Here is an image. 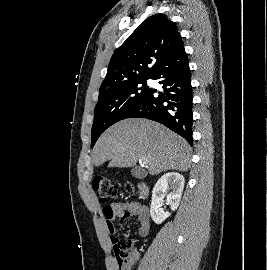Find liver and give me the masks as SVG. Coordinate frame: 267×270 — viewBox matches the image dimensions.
Segmentation results:
<instances>
[{
  "label": "liver",
  "instance_id": "1",
  "mask_svg": "<svg viewBox=\"0 0 267 270\" xmlns=\"http://www.w3.org/2000/svg\"><path fill=\"white\" fill-rule=\"evenodd\" d=\"M191 147L188 142L166 127L141 118L117 122L98 139L93 149L96 166L109 161V167H132L146 160L150 175L163 171H187Z\"/></svg>",
  "mask_w": 267,
  "mask_h": 270
}]
</instances>
